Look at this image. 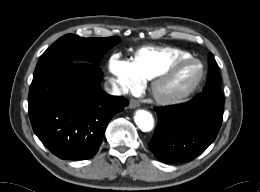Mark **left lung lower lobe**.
<instances>
[{
	"label": "left lung lower lobe",
	"mask_w": 260,
	"mask_h": 192,
	"mask_svg": "<svg viewBox=\"0 0 260 192\" xmlns=\"http://www.w3.org/2000/svg\"><path fill=\"white\" fill-rule=\"evenodd\" d=\"M221 91H203L187 103L157 107L158 126L148 144L162 162H189L216 138L223 117Z\"/></svg>",
	"instance_id": "left-lung-lower-lobe-1"
}]
</instances>
